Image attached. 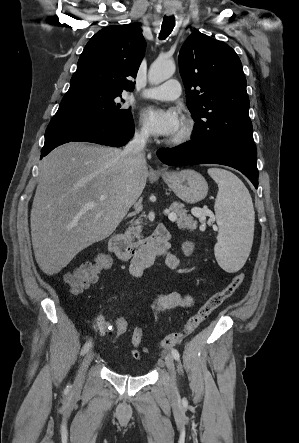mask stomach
<instances>
[{
    "instance_id": "obj_1",
    "label": "stomach",
    "mask_w": 299,
    "mask_h": 443,
    "mask_svg": "<svg viewBox=\"0 0 299 443\" xmlns=\"http://www.w3.org/2000/svg\"><path fill=\"white\" fill-rule=\"evenodd\" d=\"M162 178L176 196L189 204L197 203L207 195L208 184L204 177L195 170L164 172Z\"/></svg>"
}]
</instances>
